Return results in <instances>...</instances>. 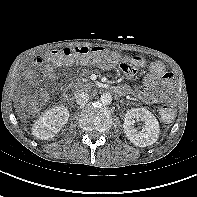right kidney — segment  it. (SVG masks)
<instances>
[{"instance_id":"obj_1","label":"right kidney","mask_w":197,"mask_h":197,"mask_svg":"<svg viewBox=\"0 0 197 197\" xmlns=\"http://www.w3.org/2000/svg\"><path fill=\"white\" fill-rule=\"evenodd\" d=\"M69 111L64 106H56L46 111L33 125L32 134L41 140L51 139L67 123Z\"/></svg>"}]
</instances>
